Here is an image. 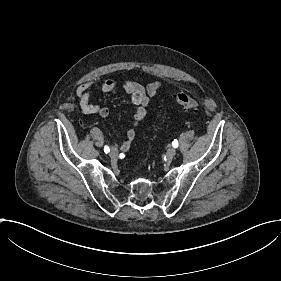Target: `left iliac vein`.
<instances>
[{"label":"left iliac vein","mask_w":281,"mask_h":281,"mask_svg":"<svg viewBox=\"0 0 281 281\" xmlns=\"http://www.w3.org/2000/svg\"><path fill=\"white\" fill-rule=\"evenodd\" d=\"M167 156L169 157V158H174L175 156H176V150L174 149V148H169L168 150H167Z\"/></svg>","instance_id":"1"}]
</instances>
